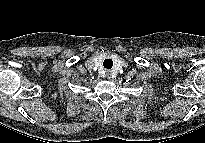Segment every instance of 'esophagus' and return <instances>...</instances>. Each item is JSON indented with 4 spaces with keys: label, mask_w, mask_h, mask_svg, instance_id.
I'll return each mask as SVG.
<instances>
[{
    "label": "esophagus",
    "mask_w": 205,
    "mask_h": 143,
    "mask_svg": "<svg viewBox=\"0 0 205 143\" xmlns=\"http://www.w3.org/2000/svg\"><path fill=\"white\" fill-rule=\"evenodd\" d=\"M107 76H108V78H110V73L109 72H107Z\"/></svg>",
    "instance_id": "1"
}]
</instances>
